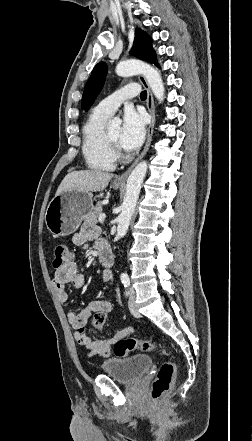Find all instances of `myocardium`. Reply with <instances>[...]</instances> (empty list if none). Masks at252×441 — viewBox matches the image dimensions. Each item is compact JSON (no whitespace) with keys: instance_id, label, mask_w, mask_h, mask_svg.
<instances>
[{"instance_id":"f54148a6","label":"myocardium","mask_w":252,"mask_h":441,"mask_svg":"<svg viewBox=\"0 0 252 441\" xmlns=\"http://www.w3.org/2000/svg\"><path fill=\"white\" fill-rule=\"evenodd\" d=\"M104 139H105V143L107 145V148L109 149V151L111 152V154L116 158L120 151H119V147L117 144H115L108 136L107 132L104 133Z\"/></svg>"}]
</instances>
